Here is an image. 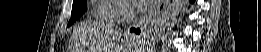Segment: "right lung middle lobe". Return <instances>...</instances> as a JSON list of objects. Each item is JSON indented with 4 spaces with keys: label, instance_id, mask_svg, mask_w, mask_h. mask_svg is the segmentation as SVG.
<instances>
[{
    "label": "right lung middle lobe",
    "instance_id": "obj_1",
    "mask_svg": "<svg viewBox=\"0 0 261 52\" xmlns=\"http://www.w3.org/2000/svg\"><path fill=\"white\" fill-rule=\"evenodd\" d=\"M87 9L86 0H77L73 2L71 19L68 26L72 25Z\"/></svg>",
    "mask_w": 261,
    "mask_h": 52
}]
</instances>
